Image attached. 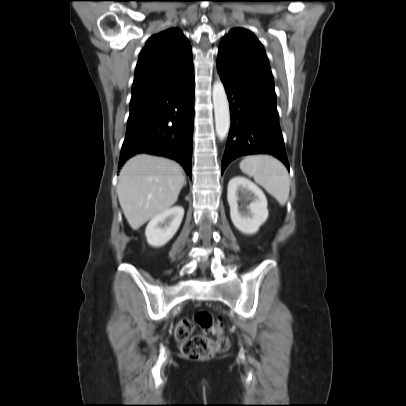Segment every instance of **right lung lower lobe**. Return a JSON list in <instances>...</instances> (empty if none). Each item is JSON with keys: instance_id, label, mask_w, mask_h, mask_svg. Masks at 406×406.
<instances>
[{"instance_id": "obj_1", "label": "right lung lower lobe", "mask_w": 406, "mask_h": 406, "mask_svg": "<svg viewBox=\"0 0 406 406\" xmlns=\"http://www.w3.org/2000/svg\"><path fill=\"white\" fill-rule=\"evenodd\" d=\"M194 85L193 70L130 106L137 117L128 122L119 167L130 157L146 153L177 161L191 177Z\"/></svg>"}]
</instances>
